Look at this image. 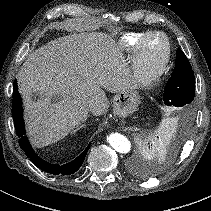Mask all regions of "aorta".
<instances>
[{"instance_id":"762f6f07","label":"aorta","mask_w":211,"mask_h":211,"mask_svg":"<svg viewBox=\"0 0 211 211\" xmlns=\"http://www.w3.org/2000/svg\"><path fill=\"white\" fill-rule=\"evenodd\" d=\"M109 144L119 153H128L131 149L130 141L120 133H112L107 138Z\"/></svg>"}]
</instances>
